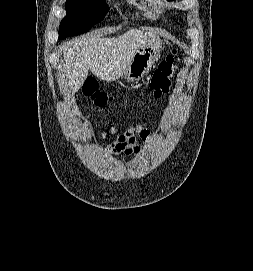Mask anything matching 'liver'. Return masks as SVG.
<instances>
[{
  "instance_id": "1",
  "label": "liver",
  "mask_w": 253,
  "mask_h": 271,
  "mask_svg": "<svg viewBox=\"0 0 253 271\" xmlns=\"http://www.w3.org/2000/svg\"><path fill=\"white\" fill-rule=\"evenodd\" d=\"M159 38L155 33L131 29L118 37L101 34L69 42L63 49L62 76L71 95L83 85L90 70L96 77L114 81L121 77L139 48Z\"/></svg>"
}]
</instances>
